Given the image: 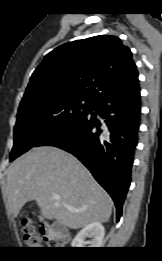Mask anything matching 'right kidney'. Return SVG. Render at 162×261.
I'll return each mask as SVG.
<instances>
[{"mask_svg": "<svg viewBox=\"0 0 162 261\" xmlns=\"http://www.w3.org/2000/svg\"><path fill=\"white\" fill-rule=\"evenodd\" d=\"M105 230L100 222H93L85 226L73 239L72 247H81L85 243V238H90L89 247L99 248L102 245Z\"/></svg>", "mask_w": 162, "mask_h": 261, "instance_id": "obj_1", "label": "right kidney"}]
</instances>
